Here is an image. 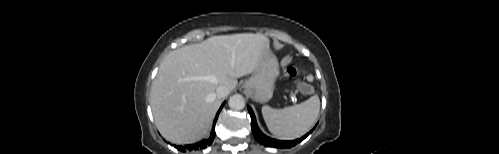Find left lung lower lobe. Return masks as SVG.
<instances>
[{"label": "left lung lower lobe", "mask_w": 499, "mask_h": 154, "mask_svg": "<svg viewBox=\"0 0 499 154\" xmlns=\"http://www.w3.org/2000/svg\"><path fill=\"white\" fill-rule=\"evenodd\" d=\"M248 111H249V114L251 116V127H252V132H253L255 139L260 144L268 146V147H278V148H282V149L290 148L292 146H295L297 143L301 142L302 140H304L312 132V130H311L306 135H304L302 138L297 139V140H293V141L275 140V139H272L270 137H267L266 135H264L260 131V129L256 123V118H255L254 112L252 111V109L249 106H248Z\"/></svg>", "instance_id": "obj_1"}]
</instances>
